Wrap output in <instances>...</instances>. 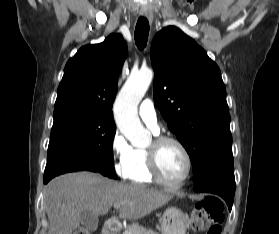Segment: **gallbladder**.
I'll return each mask as SVG.
<instances>
[{
  "mask_svg": "<svg viewBox=\"0 0 279 234\" xmlns=\"http://www.w3.org/2000/svg\"><path fill=\"white\" fill-rule=\"evenodd\" d=\"M81 223L89 230L94 231L98 226V218L89 211L81 213Z\"/></svg>",
  "mask_w": 279,
  "mask_h": 234,
  "instance_id": "bac80fb5",
  "label": "gallbladder"
}]
</instances>
